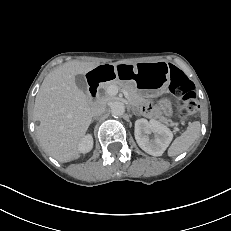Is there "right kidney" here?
Masks as SVG:
<instances>
[{
	"instance_id": "obj_1",
	"label": "right kidney",
	"mask_w": 231,
	"mask_h": 231,
	"mask_svg": "<svg viewBox=\"0 0 231 231\" xmlns=\"http://www.w3.org/2000/svg\"><path fill=\"white\" fill-rule=\"evenodd\" d=\"M93 147V138L91 135H86L79 143V151L81 153H88Z\"/></svg>"
}]
</instances>
